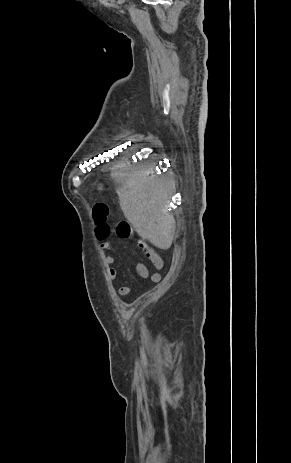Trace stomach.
<instances>
[{
    "mask_svg": "<svg viewBox=\"0 0 291 463\" xmlns=\"http://www.w3.org/2000/svg\"><path fill=\"white\" fill-rule=\"evenodd\" d=\"M98 189H100V190L103 189L102 185H99V186H98Z\"/></svg>",
    "mask_w": 291,
    "mask_h": 463,
    "instance_id": "stomach-1",
    "label": "stomach"
}]
</instances>
